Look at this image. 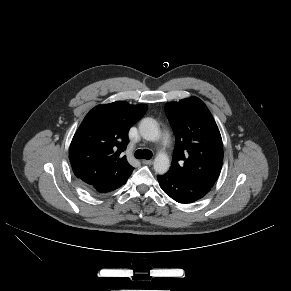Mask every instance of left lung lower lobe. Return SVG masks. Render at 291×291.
Here are the masks:
<instances>
[{"label":"left lung lower lobe","instance_id":"left-lung-lower-lobe-1","mask_svg":"<svg viewBox=\"0 0 291 291\" xmlns=\"http://www.w3.org/2000/svg\"><path fill=\"white\" fill-rule=\"evenodd\" d=\"M157 178L162 190L179 203H191L201 199L211 189L195 180L178 176L169 171Z\"/></svg>","mask_w":291,"mask_h":291}]
</instances>
